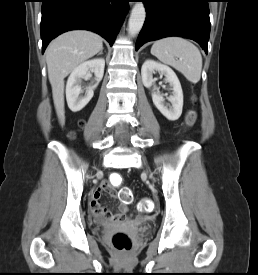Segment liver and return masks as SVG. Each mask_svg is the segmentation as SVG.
Instances as JSON below:
<instances>
[{"instance_id": "liver-1", "label": "liver", "mask_w": 258, "mask_h": 275, "mask_svg": "<svg viewBox=\"0 0 258 275\" xmlns=\"http://www.w3.org/2000/svg\"><path fill=\"white\" fill-rule=\"evenodd\" d=\"M102 37L90 31L75 30L54 39L46 50L48 77L60 124L65 123L64 78L77 66L103 48Z\"/></svg>"}]
</instances>
